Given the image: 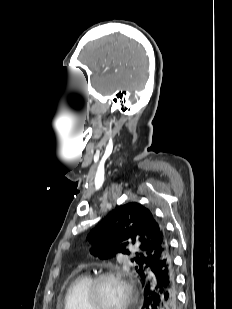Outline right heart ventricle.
<instances>
[{"label":"right heart ventricle","instance_id":"right-heart-ventricle-1","mask_svg":"<svg viewBox=\"0 0 232 309\" xmlns=\"http://www.w3.org/2000/svg\"><path fill=\"white\" fill-rule=\"evenodd\" d=\"M91 279V276L82 274L73 280L65 294L64 309H89L86 294Z\"/></svg>","mask_w":232,"mask_h":309}]
</instances>
